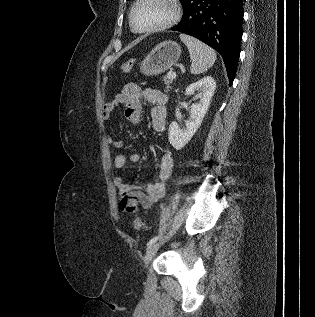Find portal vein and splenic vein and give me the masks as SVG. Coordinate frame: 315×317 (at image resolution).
I'll use <instances>...</instances> for the list:
<instances>
[{
	"label": "portal vein and splenic vein",
	"instance_id": "18ae733b",
	"mask_svg": "<svg viewBox=\"0 0 315 317\" xmlns=\"http://www.w3.org/2000/svg\"><path fill=\"white\" fill-rule=\"evenodd\" d=\"M168 74L172 78H175L177 76L176 72H174V71H170Z\"/></svg>",
	"mask_w": 315,
	"mask_h": 317
}]
</instances>
